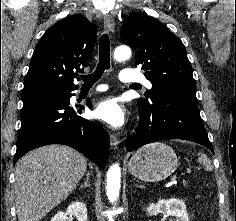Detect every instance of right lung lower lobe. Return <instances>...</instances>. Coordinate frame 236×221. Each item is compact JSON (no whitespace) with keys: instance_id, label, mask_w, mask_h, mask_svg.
<instances>
[{"instance_id":"obj_1","label":"right lung lower lobe","mask_w":236,"mask_h":221,"mask_svg":"<svg viewBox=\"0 0 236 221\" xmlns=\"http://www.w3.org/2000/svg\"><path fill=\"white\" fill-rule=\"evenodd\" d=\"M75 89L67 90L66 97H41L23 102L14 164L34 148L63 144L78 150L100 168L106 165L108 135L98 123L77 115L82 111L81 106H70L71 91Z\"/></svg>"}]
</instances>
